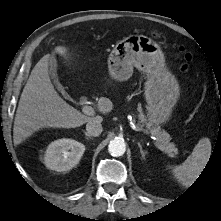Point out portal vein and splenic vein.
I'll return each mask as SVG.
<instances>
[{
  "instance_id": "portal-vein-and-splenic-vein-1",
  "label": "portal vein and splenic vein",
  "mask_w": 221,
  "mask_h": 221,
  "mask_svg": "<svg viewBox=\"0 0 221 221\" xmlns=\"http://www.w3.org/2000/svg\"><path fill=\"white\" fill-rule=\"evenodd\" d=\"M82 111L84 114L89 115V116H93L95 113L94 109L91 106H87V105L82 108ZM154 144L158 149L162 150V147L159 145V143L155 142Z\"/></svg>"
}]
</instances>
